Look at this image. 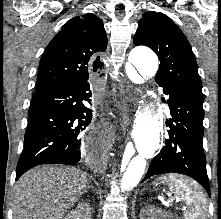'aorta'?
Instances as JSON below:
<instances>
[{
	"mask_svg": "<svg viewBox=\"0 0 221 219\" xmlns=\"http://www.w3.org/2000/svg\"><path fill=\"white\" fill-rule=\"evenodd\" d=\"M128 60L143 77L154 76L158 70V58L147 47L134 48ZM159 117V113L146 109L136 118L134 128L136 152L132 146H129L116 172L122 194H126L137 186L145 172L147 159L151 158L159 147L162 129Z\"/></svg>",
	"mask_w": 221,
	"mask_h": 219,
	"instance_id": "aorta-1",
	"label": "aorta"
}]
</instances>
